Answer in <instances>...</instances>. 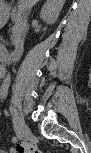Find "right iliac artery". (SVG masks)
I'll use <instances>...</instances> for the list:
<instances>
[{
  "instance_id": "1",
  "label": "right iliac artery",
  "mask_w": 91,
  "mask_h": 153,
  "mask_svg": "<svg viewBox=\"0 0 91 153\" xmlns=\"http://www.w3.org/2000/svg\"><path fill=\"white\" fill-rule=\"evenodd\" d=\"M9 111L11 113V115H13V121L15 123V129H16V135L17 137L21 140L23 138L22 133L20 132V130L18 129V127L16 126L17 122H16V118L14 117L15 114V109L13 107L9 108Z\"/></svg>"
}]
</instances>
